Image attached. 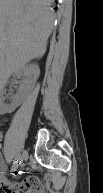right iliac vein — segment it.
<instances>
[{"label": "right iliac vein", "mask_w": 103, "mask_h": 193, "mask_svg": "<svg viewBox=\"0 0 103 193\" xmlns=\"http://www.w3.org/2000/svg\"><path fill=\"white\" fill-rule=\"evenodd\" d=\"M27 159H28V153L26 151H23V153L21 155V159H20V166L21 167L25 166Z\"/></svg>", "instance_id": "right-iliac-vein-1"}]
</instances>
